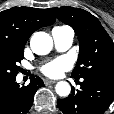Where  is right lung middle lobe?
Wrapping results in <instances>:
<instances>
[{
  "label": "right lung middle lobe",
  "mask_w": 114,
  "mask_h": 114,
  "mask_svg": "<svg viewBox=\"0 0 114 114\" xmlns=\"http://www.w3.org/2000/svg\"><path fill=\"white\" fill-rule=\"evenodd\" d=\"M24 48L0 45V82L16 78L21 70L18 63L23 59Z\"/></svg>",
  "instance_id": "1"
}]
</instances>
